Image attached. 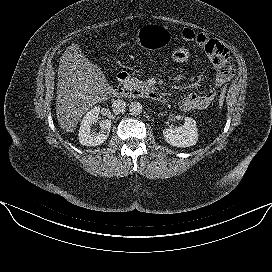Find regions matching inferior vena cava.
<instances>
[{
  "label": "inferior vena cava",
  "mask_w": 272,
  "mask_h": 272,
  "mask_svg": "<svg viewBox=\"0 0 272 272\" xmlns=\"http://www.w3.org/2000/svg\"><path fill=\"white\" fill-rule=\"evenodd\" d=\"M126 109V103L122 99L114 100L112 103V110L114 113L119 114L124 112Z\"/></svg>",
  "instance_id": "obj_1"
}]
</instances>
